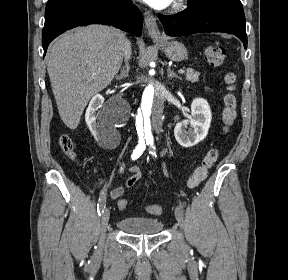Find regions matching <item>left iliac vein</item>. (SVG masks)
<instances>
[{"label":"left iliac vein","instance_id":"obj_1","mask_svg":"<svg viewBox=\"0 0 288 280\" xmlns=\"http://www.w3.org/2000/svg\"><path fill=\"white\" fill-rule=\"evenodd\" d=\"M179 205L175 208V217L178 222L179 227L182 229L184 227V212L180 211Z\"/></svg>","mask_w":288,"mask_h":280}]
</instances>
